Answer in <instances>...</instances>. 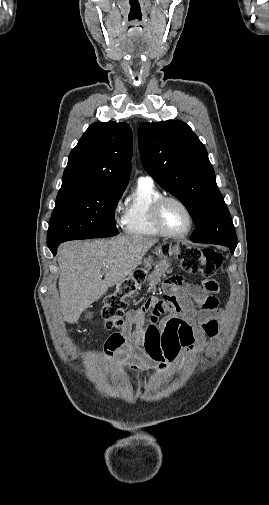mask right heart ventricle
I'll return each mask as SVG.
<instances>
[{
    "label": "right heart ventricle",
    "instance_id": "e07e8e85",
    "mask_svg": "<svg viewBox=\"0 0 269 505\" xmlns=\"http://www.w3.org/2000/svg\"><path fill=\"white\" fill-rule=\"evenodd\" d=\"M160 196L161 192L153 183L138 181L124 211L123 227L126 233L147 237L162 236L151 217V205Z\"/></svg>",
    "mask_w": 269,
    "mask_h": 505
}]
</instances>
